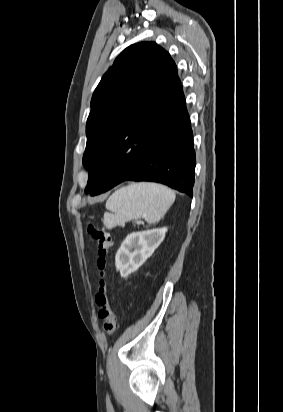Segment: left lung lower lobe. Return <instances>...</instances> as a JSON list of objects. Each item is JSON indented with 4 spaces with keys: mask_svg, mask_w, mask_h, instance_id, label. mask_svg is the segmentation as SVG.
I'll return each instance as SVG.
<instances>
[{
    "mask_svg": "<svg viewBox=\"0 0 283 412\" xmlns=\"http://www.w3.org/2000/svg\"><path fill=\"white\" fill-rule=\"evenodd\" d=\"M109 154L94 176L98 194L131 180L162 183L192 196L196 159L183 90L154 128L140 157Z\"/></svg>",
    "mask_w": 283,
    "mask_h": 412,
    "instance_id": "left-lung-lower-lobe-1",
    "label": "left lung lower lobe"
}]
</instances>
